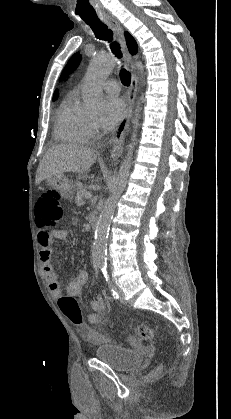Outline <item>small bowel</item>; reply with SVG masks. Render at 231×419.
Listing matches in <instances>:
<instances>
[{"mask_svg":"<svg viewBox=\"0 0 231 419\" xmlns=\"http://www.w3.org/2000/svg\"><path fill=\"white\" fill-rule=\"evenodd\" d=\"M66 237L67 233L63 229H57L53 231H50L48 229H40L37 236V240L40 245V260L42 264V270L47 279L49 280L50 292L52 296L58 300L63 295V292L59 285L58 276L55 271V268L51 263V255L53 252L54 242L65 240ZM87 281L88 272L85 269L79 270L77 274L68 283L66 288V294L71 297L79 298L81 296L82 289L87 283ZM91 307L93 312L87 315V321L92 325L101 324L102 318L106 314V303L103 296L97 295L91 301ZM132 342L136 343L137 340L135 338H132Z\"/></svg>","mask_w":231,"mask_h":419,"instance_id":"1","label":"small bowel"}]
</instances>
